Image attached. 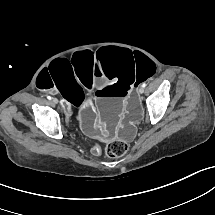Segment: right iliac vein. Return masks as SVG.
<instances>
[{"label": "right iliac vein", "instance_id": "63e3f726", "mask_svg": "<svg viewBox=\"0 0 215 215\" xmlns=\"http://www.w3.org/2000/svg\"><path fill=\"white\" fill-rule=\"evenodd\" d=\"M52 102H53V104H57L58 103V99L57 98H53Z\"/></svg>", "mask_w": 215, "mask_h": 215}]
</instances>
